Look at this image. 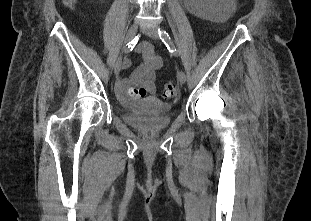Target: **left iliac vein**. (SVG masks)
Returning a JSON list of instances; mask_svg holds the SVG:
<instances>
[{
  "instance_id": "left-iliac-vein-1",
  "label": "left iliac vein",
  "mask_w": 311,
  "mask_h": 221,
  "mask_svg": "<svg viewBox=\"0 0 311 221\" xmlns=\"http://www.w3.org/2000/svg\"><path fill=\"white\" fill-rule=\"evenodd\" d=\"M142 31L147 35L149 36L150 38H153V39H158L159 36H158V30H157V27L156 26H145L143 27ZM178 81L181 83V84H184L186 82V75L183 71H180L178 73Z\"/></svg>"
}]
</instances>
